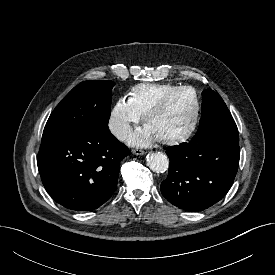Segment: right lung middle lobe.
Instances as JSON below:
<instances>
[{
  "label": "right lung middle lobe",
  "instance_id": "obj_1",
  "mask_svg": "<svg viewBox=\"0 0 275 275\" xmlns=\"http://www.w3.org/2000/svg\"><path fill=\"white\" fill-rule=\"evenodd\" d=\"M114 85L111 80H89L77 85L54 109L43 135L81 133L107 126Z\"/></svg>",
  "mask_w": 275,
  "mask_h": 275
}]
</instances>
